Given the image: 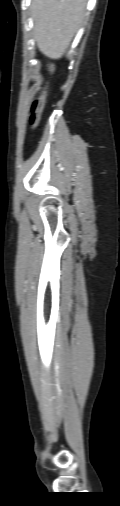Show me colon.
Listing matches in <instances>:
<instances>
[{
    "label": "colon",
    "mask_w": 120,
    "mask_h": 506,
    "mask_svg": "<svg viewBox=\"0 0 120 506\" xmlns=\"http://www.w3.org/2000/svg\"><path fill=\"white\" fill-rule=\"evenodd\" d=\"M47 96H48V88H45L33 103L32 113L30 117V124L33 127H36L39 123L44 105L47 100Z\"/></svg>",
    "instance_id": "1"
}]
</instances>
